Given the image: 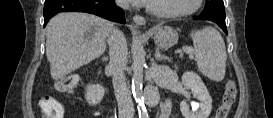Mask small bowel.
Listing matches in <instances>:
<instances>
[{"label":"small bowel","mask_w":273,"mask_h":118,"mask_svg":"<svg viewBox=\"0 0 273 118\" xmlns=\"http://www.w3.org/2000/svg\"><path fill=\"white\" fill-rule=\"evenodd\" d=\"M170 110H171V104H170V101L168 100L163 105L162 112H161V117L162 118H168L169 115H170Z\"/></svg>","instance_id":"1"}]
</instances>
